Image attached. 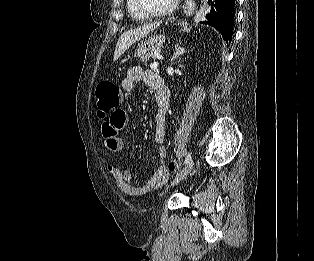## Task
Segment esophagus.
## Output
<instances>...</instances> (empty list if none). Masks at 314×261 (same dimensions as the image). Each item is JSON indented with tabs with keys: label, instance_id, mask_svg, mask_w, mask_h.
Instances as JSON below:
<instances>
[{
	"label": "esophagus",
	"instance_id": "obj_1",
	"mask_svg": "<svg viewBox=\"0 0 314 261\" xmlns=\"http://www.w3.org/2000/svg\"><path fill=\"white\" fill-rule=\"evenodd\" d=\"M195 8V4H191L188 6L187 14H192Z\"/></svg>",
	"mask_w": 314,
	"mask_h": 261
}]
</instances>
